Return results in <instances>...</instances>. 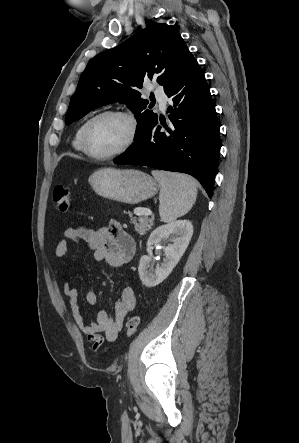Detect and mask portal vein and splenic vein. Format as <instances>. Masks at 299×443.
Returning a JSON list of instances; mask_svg holds the SVG:
<instances>
[{
  "mask_svg": "<svg viewBox=\"0 0 299 443\" xmlns=\"http://www.w3.org/2000/svg\"><path fill=\"white\" fill-rule=\"evenodd\" d=\"M139 214H144V215H146V216H149V215H152V216H153V214H152V212H151L150 210H145V209H143V211L140 212Z\"/></svg>",
  "mask_w": 299,
  "mask_h": 443,
  "instance_id": "portal-vein-and-splenic-vein-1",
  "label": "portal vein and splenic vein"
}]
</instances>
